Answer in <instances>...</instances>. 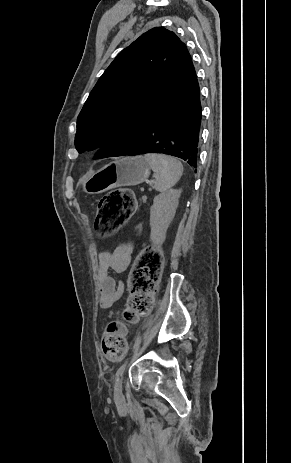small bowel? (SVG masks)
<instances>
[{
  "mask_svg": "<svg viewBox=\"0 0 291 463\" xmlns=\"http://www.w3.org/2000/svg\"><path fill=\"white\" fill-rule=\"evenodd\" d=\"M132 245L123 243L111 253L100 252L96 266L95 281L99 293V306L108 309L118 303L124 296L125 283L123 280L116 281L110 274V270L116 273H124L129 267Z\"/></svg>",
  "mask_w": 291,
  "mask_h": 463,
  "instance_id": "small-bowel-1",
  "label": "small bowel"
}]
</instances>
